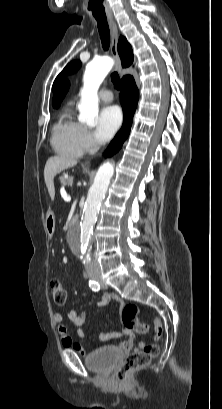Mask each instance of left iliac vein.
Here are the masks:
<instances>
[{
  "label": "left iliac vein",
  "instance_id": "4c4485c4",
  "mask_svg": "<svg viewBox=\"0 0 222 409\" xmlns=\"http://www.w3.org/2000/svg\"><path fill=\"white\" fill-rule=\"evenodd\" d=\"M97 280H98V282L100 283V285H101V287H102L103 289H107V288H108V285L106 284V282H105L100 276L97 278Z\"/></svg>",
  "mask_w": 222,
  "mask_h": 409
}]
</instances>
